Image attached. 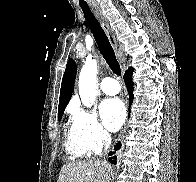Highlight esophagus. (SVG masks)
Returning <instances> with one entry per match:
<instances>
[{
    "label": "esophagus",
    "instance_id": "34e87169",
    "mask_svg": "<svg viewBox=\"0 0 196 182\" xmlns=\"http://www.w3.org/2000/svg\"><path fill=\"white\" fill-rule=\"evenodd\" d=\"M94 11H95V13H96V15H97V17H98V19L100 21V24H101L103 30L105 31V33H106V35L108 37L111 45L115 49H117V43H116V41L114 39V36H113V34L111 32V29H110V27L108 25V22H107L106 18L102 15V13H101V11L99 9L95 8Z\"/></svg>",
    "mask_w": 196,
    "mask_h": 182
}]
</instances>
